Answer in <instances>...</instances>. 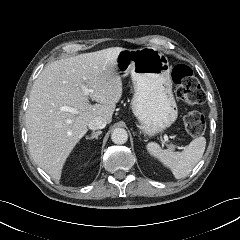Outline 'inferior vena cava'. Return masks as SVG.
I'll return each instance as SVG.
<instances>
[{
	"mask_svg": "<svg viewBox=\"0 0 240 240\" xmlns=\"http://www.w3.org/2000/svg\"><path fill=\"white\" fill-rule=\"evenodd\" d=\"M106 120L100 116L93 118L89 121L88 127L91 130L103 129L106 126Z\"/></svg>",
	"mask_w": 240,
	"mask_h": 240,
	"instance_id": "obj_1",
	"label": "inferior vena cava"
}]
</instances>
